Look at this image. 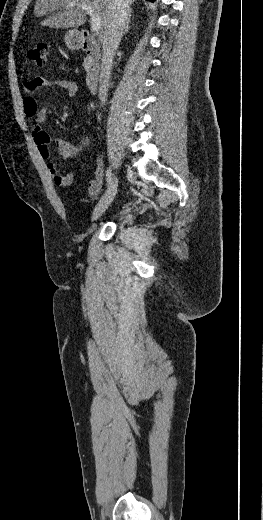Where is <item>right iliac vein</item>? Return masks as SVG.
I'll return each instance as SVG.
<instances>
[{
	"label": "right iliac vein",
	"mask_w": 263,
	"mask_h": 520,
	"mask_svg": "<svg viewBox=\"0 0 263 520\" xmlns=\"http://www.w3.org/2000/svg\"><path fill=\"white\" fill-rule=\"evenodd\" d=\"M117 188L118 176L116 175L112 178L111 182L108 185L106 193L103 195L99 203L96 205L92 214V221L97 220L109 207L117 193Z\"/></svg>",
	"instance_id": "right-iliac-vein-1"
}]
</instances>
